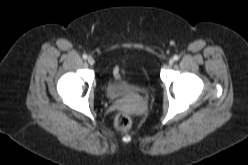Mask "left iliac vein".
I'll return each instance as SVG.
<instances>
[{"label": "left iliac vein", "instance_id": "4c4485c4", "mask_svg": "<svg viewBox=\"0 0 248 165\" xmlns=\"http://www.w3.org/2000/svg\"><path fill=\"white\" fill-rule=\"evenodd\" d=\"M168 63H169V65H173L174 64V59H169V61H168Z\"/></svg>", "mask_w": 248, "mask_h": 165}]
</instances>
